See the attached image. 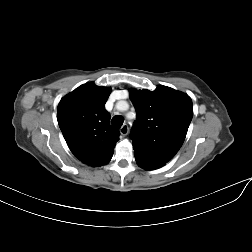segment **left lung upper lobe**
<instances>
[{"mask_svg": "<svg viewBox=\"0 0 252 252\" xmlns=\"http://www.w3.org/2000/svg\"><path fill=\"white\" fill-rule=\"evenodd\" d=\"M129 91L137 113L131 131L133 149L169 162L182 146L192 120L191 98L163 85L154 91Z\"/></svg>", "mask_w": 252, "mask_h": 252, "instance_id": "left-lung-upper-lobe-1", "label": "left lung upper lobe"}]
</instances>
